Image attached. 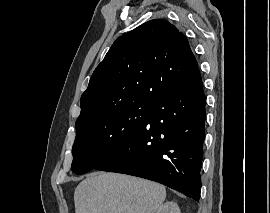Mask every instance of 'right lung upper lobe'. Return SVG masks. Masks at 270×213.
Masks as SVG:
<instances>
[{
    "instance_id": "obj_1",
    "label": "right lung upper lobe",
    "mask_w": 270,
    "mask_h": 213,
    "mask_svg": "<svg viewBox=\"0 0 270 213\" xmlns=\"http://www.w3.org/2000/svg\"><path fill=\"white\" fill-rule=\"evenodd\" d=\"M197 68L185 35L164 19L148 21L113 43L81 96L76 123L133 102L155 104Z\"/></svg>"
}]
</instances>
